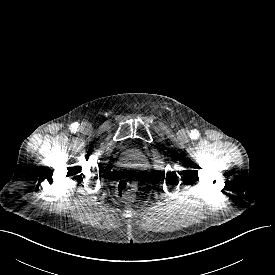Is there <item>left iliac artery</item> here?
Here are the masks:
<instances>
[{
    "mask_svg": "<svg viewBox=\"0 0 275 275\" xmlns=\"http://www.w3.org/2000/svg\"><path fill=\"white\" fill-rule=\"evenodd\" d=\"M190 136L192 139H197L199 136V132L197 130H193V131H191Z\"/></svg>",
    "mask_w": 275,
    "mask_h": 275,
    "instance_id": "obj_1",
    "label": "left iliac artery"
}]
</instances>
